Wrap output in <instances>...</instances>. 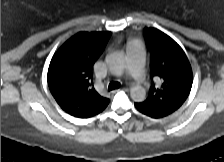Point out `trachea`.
<instances>
[{
    "label": "trachea",
    "mask_w": 224,
    "mask_h": 162,
    "mask_svg": "<svg viewBox=\"0 0 224 162\" xmlns=\"http://www.w3.org/2000/svg\"><path fill=\"white\" fill-rule=\"evenodd\" d=\"M120 86L121 85L119 82L113 81L109 84L108 89H109V91H111V90L120 88Z\"/></svg>",
    "instance_id": "3493384b"
}]
</instances>
